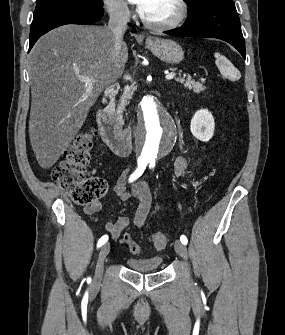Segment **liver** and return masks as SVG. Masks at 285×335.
<instances>
[{
  "label": "liver",
  "instance_id": "liver-1",
  "mask_svg": "<svg viewBox=\"0 0 285 335\" xmlns=\"http://www.w3.org/2000/svg\"><path fill=\"white\" fill-rule=\"evenodd\" d=\"M128 50H116L107 26H61L42 36L30 52L29 138L36 160L52 168L82 128L105 88L122 76ZM93 76V84L80 82Z\"/></svg>",
  "mask_w": 285,
  "mask_h": 335
}]
</instances>
